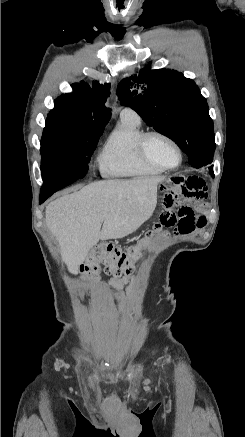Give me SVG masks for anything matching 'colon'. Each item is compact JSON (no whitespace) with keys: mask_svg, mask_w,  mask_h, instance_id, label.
I'll list each match as a JSON object with an SVG mask.
<instances>
[{"mask_svg":"<svg viewBox=\"0 0 245 437\" xmlns=\"http://www.w3.org/2000/svg\"><path fill=\"white\" fill-rule=\"evenodd\" d=\"M165 234H167V229H164L163 224L157 222L137 246L122 250L112 244L101 245L83 265L81 272L86 279L98 278L102 267L106 273L113 276L128 274L140 259L142 248L150 245L155 235Z\"/></svg>","mask_w":245,"mask_h":437,"instance_id":"colon-1","label":"colon"}]
</instances>
